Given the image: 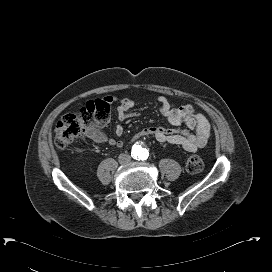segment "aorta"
<instances>
[{"label": "aorta", "instance_id": "762f6f07", "mask_svg": "<svg viewBox=\"0 0 272 272\" xmlns=\"http://www.w3.org/2000/svg\"><path fill=\"white\" fill-rule=\"evenodd\" d=\"M133 154L135 155L136 158L138 159H144L145 156L147 155L148 151L141 145H135L132 150Z\"/></svg>", "mask_w": 272, "mask_h": 272}]
</instances>
